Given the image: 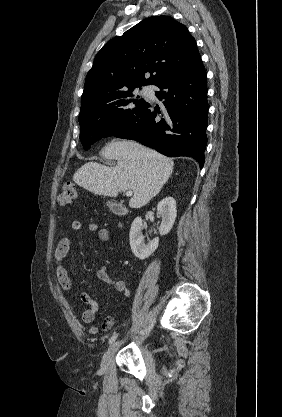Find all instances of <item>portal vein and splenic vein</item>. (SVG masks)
<instances>
[{"instance_id": "18ae733b", "label": "portal vein and splenic vein", "mask_w": 282, "mask_h": 417, "mask_svg": "<svg viewBox=\"0 0 282 417\" xmlns=\"http://www.w3.org/2000/svg\"><path fill=\"white\" fill-rule=\"evenodd\" d=\"M125 194L126 196H132L133 192L132 190H126Z\"/></svg>"}]
</instances>
